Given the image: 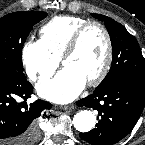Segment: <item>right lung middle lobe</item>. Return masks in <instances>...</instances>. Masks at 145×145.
<instances>
[{
    "mask_svg": "<svg viewBox=\"0 0 145 145\" xmlns=\"http://www.w3.org/2000/svg\"><path fill=\"white\" fill-rule=\"evenodd\" d=\"M46 16L42 11H22L0 19V71H23V45L32 27Z\"/></svg>",
    "mask_w": 145,
    "mask_h": 145,
    "instance_id": "dd1d6c3e",
    "label": "right lung middle lobe"
}]
</instances>
